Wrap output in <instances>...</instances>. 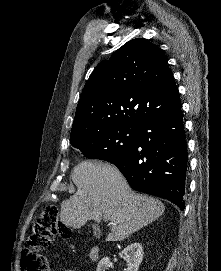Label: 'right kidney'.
<instances>
[{
    "label": "right kidney",
    "instance_id": "1",
    "mask_svg": "<svg viewBox=\"0 0 221 271\" xmlns=\"http://www.w3.org/2000/svg\"><path fill=\"white\" fill-rule=\"evenodd\" d=\"M122 253L126 255L127 271H138L139 265L143 259V245L135 241L124 247ZM110 263V257L100 259L96 271H107Z\"/></svg>",
    "mask_w": 221,
    "mask_h": 271
}]
</instances>
